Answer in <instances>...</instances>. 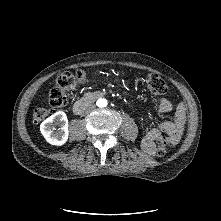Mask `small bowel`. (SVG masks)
<instances>
[{
  "mask_svg": "<svg viewBox=\"0 0 221 221\" xmlns=\"http://www.w3.org/2000/svg\"><path fill=\"white\" fill-rule=\"evenodd\" d=\"M172 109L171 102L166 98H160L158 112L160 115L169 113ZM185 106L180 103L175 111V118L172 121H164L160 124L159 128H150L142 139V146L148 153L155 151V142L159 140L161 131L168 133L174 139V143L178 141L182 134L184 122H185Z\"/></svg>",
  "mask_w": 221,
  "mask_h": 221,
  "instance_id": "obj_1",
  "label": "small bowel"
}]
</instances>
